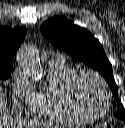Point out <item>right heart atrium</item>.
<instances>
[{
	"mask_svg": "<svg viewBox=\"0 0 125 128\" xmlns=\"http://www.w3.org/2000/svg\"><path fill=\"white\" fill-rule=\"evenodd\" d=\"M13 94L15 102L19 105L31 101L34 89L27 74L23 71H16L13 75Z\"/></svg>",
	"mask_w": 125,
	"mask_h": 128,
	"instance_id": "d8ad5b80",
	"label": "right heart atrium"
}]
</instances>
